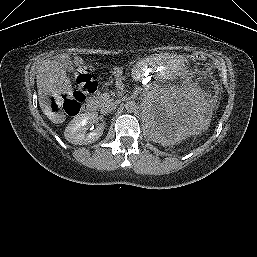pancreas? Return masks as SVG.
<instances>
[{
  "label": "pancreas",
  "instance_id": "cf45deb5",
  "mask_svg": "<svg viewBox=\"0 0 257 257\" xmlns=\"http://www.w3.org/2000/svg\"><path fill=\"white\" fill-rule=\"evenodd\" d=\"M93 100H94V104L96 105L95 107L99 108V107H102L104 105L107 98L104 97L101 94H98V96L94 97Z\"/></svg>",
  "mask_w": 257,
  "mask_h": 257
}]
</instances>
